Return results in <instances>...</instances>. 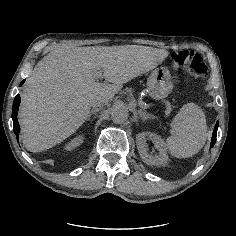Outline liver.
<instances>
[{
    "label": "liver",
    "mask_w": 236,
    "mask_h": 236,
    "mask_svg": "<svg viewBox=\"0 0 236 236\" xmlns=\"http://www.w3.org/2000/svg\"><path fill=\"white\" fill-rule=\"evenodd\" d=\"M154 52L138 45L66 46L44 56L21 94L18 116L26 149L41 152L72 135L91 107L107 104L124 83L148 70L143 65ZM161 53L168 55L166 50ZM97 72L105 82H95Z\"/></svg>",
    "instance_id": "obj_1"
}]
</instances>
